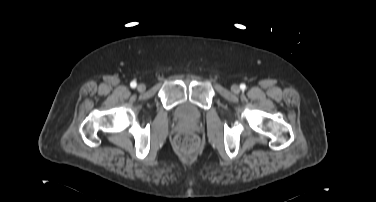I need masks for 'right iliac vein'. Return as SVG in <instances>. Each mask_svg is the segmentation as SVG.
<instances>
[{
	"label": "right iliac vein",
	"mask_w": 376,
	"mask_h": 202,
	"mask_svg": "<svg viewBox=\"0 0 376 202\" xmlns=\"http://www.w3.org/2000/svg\"><path fill=\"white\" fill-rule=\"evenodd\" d=\"M145 89H146V86H145L144 84H139V85L137 86V90H138L139 92H143V91H145Z\"/></svg>",
	"instance_id": "1"
}]
</instances>
